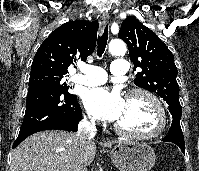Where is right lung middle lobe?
Instances as JSON below:
<instances>
[{"label": "right lung middle lobe", "mask_w": 199, "mask_h": 171, "mask_svg": "<svg viewBox=\"0 0 199 171\" xmlns=\"http://www.w3.org/2000/svg\"><path fill=\"white\" fill-rule=\"evenodd\" d=\"M63 78L64 77L48 75V74L30 76L29 85L36 84V83H49L56 86L60 90H62L65 94L73 95L68 92L69 87L64 82Z\"/></svg>", "instance_id": "obj_1"}]
</instances>
